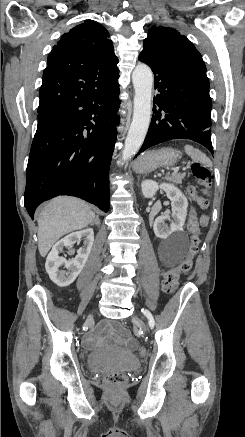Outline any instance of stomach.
Masks as SVG:
<instances>
[{
    "instance_id": "stomach-1",
    "label": "stomach",
    "mask_w": 245,
    "mask_h": 437,
    "mask_svg": "<svg viewBox=\"0 0 245 437\" xmlns=\"http://www.w3.org/2000/svg\"><path fill=\"white\" fill-rule=\"evenodd\" d=\"M178 157V151L173 148L148 151L135 161L133 168L137 173L146 174L157 168L173 165Z\"/></svg>"
}]
</instances>
